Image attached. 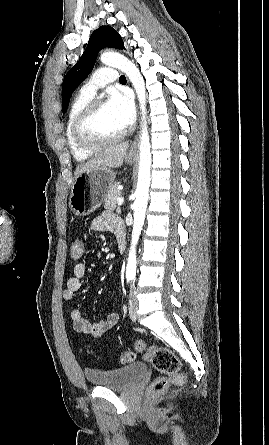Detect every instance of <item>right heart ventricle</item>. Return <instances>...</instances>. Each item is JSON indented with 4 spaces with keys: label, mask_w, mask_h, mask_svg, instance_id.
<instances>
[{
    "label": "right heart ventricle",
    "mask_w": 269,
    "mask_h": 445,
    "mask_svg": "<svg viewBox=\"0 0 269 445\" xmlns=\"http://www.w3.org/2000/svg\"><path fill=\"white\" fill-rule=\"evenodd\" d=\"M91 95H88L84 93L83 91L80 92L73 100L67 117V124H66V139L67 144L70 149V152L74 159L76 161L82 162L90 158L94 153L95 150H86L81 147H79L76 142L74 141L72 137V124L76 117V115L79 113V111L89 102L92 100Z\"/></svg>",
    "instance_id": "e07e8e85"
}]
</instances>
